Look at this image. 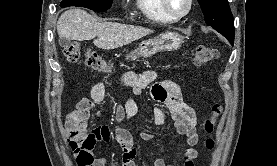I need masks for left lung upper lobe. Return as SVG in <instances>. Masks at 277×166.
Listing matches in <instances>:
<instances>
[{"mask_svg": "<svg viewBox=\"0 0 277 166\" xmlns=\"http://www.w3.org/2000/svg\"><path fill=\"white\" fill-rule=\"evenodd\" d=\"M206 23L234 42L233 16L228 0H198Z\"/></svg>", "mask_w": 277, "mask_h": 166, "instance_id": "5c2ea615", "label": "left lung upper lobe"}]
</instances>
